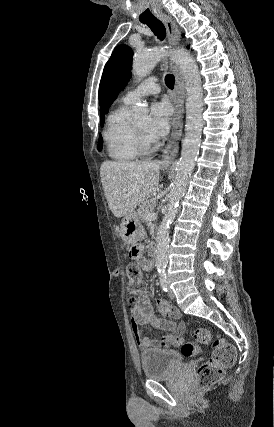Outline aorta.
<instances>
[{
    "label": "aorta",
    "mask_w": 274,
    "mask_h": 427,
    "mask_svg": "<svg viewBox=\"0 0 274 427\" xmlns=\"http://www.w3.org/2000/svg\"><path fill=\"white\" fill-rule=\"evenodd\" d=\"M168 54L172 56L183 74L187 97L185 137L182 142L181 157L176 166V176L169 194L167 212L159 225L156 237V267L161 280L166 278L165 269L168 264L169 254V227L175 218L180 199L184 195L188 180L195 167L203 126L202 82L198 66L188 51L184 49L168 51L163 48H154L150 51L139 53L133 61V75L138 80L145 78L155 65ZM147 113L148 109L145 106L137 105L133 108V115L137 119L145 117Z\"/></svg>",
    "instance_id": "obj_1"
}]
</instances>
